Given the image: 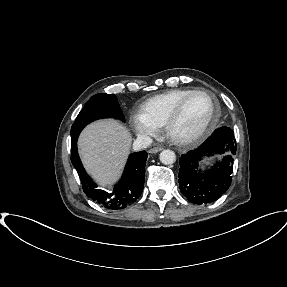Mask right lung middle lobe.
<instances>
[{
  "mask_svg": "<svg viewBox=\"0 0 287 287\" xmlns=\"http://www.w3.org/2000/svg\"><path fill=\"white\" fill-rule=\"evenodd\" d=\"M100 118L125 120L115 95L99 93L87 101L71 127V141L79 136L87 124Z\"/></svg>",
  "mask_w": 287,
  "mask_h": 287,
  "instance_id": "dd1d6c3e",
  "label": "right lung middle lobe"
}]
</instances>
